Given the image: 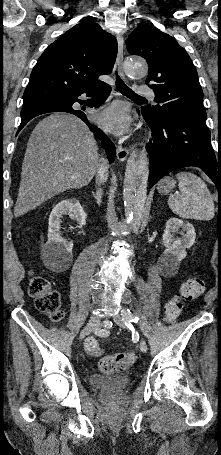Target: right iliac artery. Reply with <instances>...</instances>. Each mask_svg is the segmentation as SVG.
I'll list each match as a JSON object with an SVG mask.
<instances>
[{"label": "right iliac artery", "instance_id": "1", "mask_svg": "<svg viewBox=\"0 0 221 455\" xmlns=\"http://www.w3.org/2000/svg\"><path fill=\"white\" fill-rule=\"evenodd\" d=\"M108 330L107 329H96L95 330V336L96 337H102V338H106L108 337Z\"/></svg>", "mask_w": 221, "mask_h": 455}]
</instances>
